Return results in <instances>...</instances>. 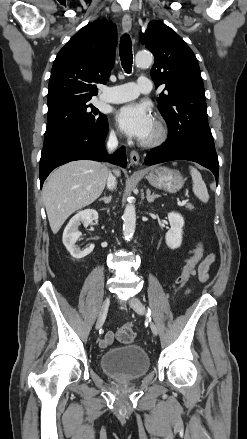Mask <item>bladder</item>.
<instances>
[{"instance_id": "bladder-1", "label": "bladder", "mask_w": 247, "mask_h": 439, "mask_svg": "<svg viewBox=\"0 0 247 439\" xmlns=\"http://www.w3.org/2000/svg\"><path fill=\"white\" fill-rule=\"evenodd\" d=\"M102 370L119 381H132L143 377L150 368L146 351L138 345L111 348L100 358Z\"/></svg>"}]
</instances>
